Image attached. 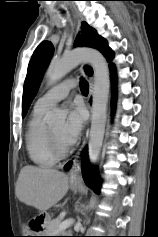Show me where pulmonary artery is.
Masks as SVG:
<instances>
[{"label": "pulmonary artery", "mask_w": 158, "mask_h": 237, "mask_svg": "<svg viewBox=\"0 0 158 237\" xmlns=\"http://www.w3.org/2000/svg\"><path fill=\"white\" fill-rule=\"evenodd\" d=\"M75 84L74 79L65 80L57 84L40 97L37 100L36 105L48 108L51 107L55 103L65 99L69 95L71 89L75 87Z\"/></svg>", "instance_id": "pulmonary-artery-1"}]
</instances>
